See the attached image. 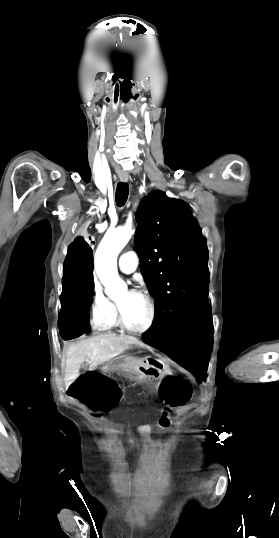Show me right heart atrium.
<instances>
[{"mask_svg": "<svg viewBox=\"0 0 279 538\" xmlns=\"http://www.w3.org/2000/svg\"><path fill=\"white\" fill-rule=\"evenodd\" d=\"M113 305L111 300L103 293L102 286L93 277V304H92V325L95 329H104L112 314Z\"/></svg>", "mask_w": 279, "mask_h": 538, "instance_id": "right-heart-atrium-1", "label": "right heart atrium"}]
</instances>
